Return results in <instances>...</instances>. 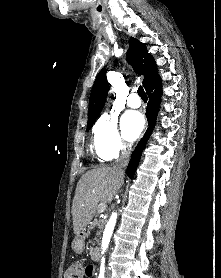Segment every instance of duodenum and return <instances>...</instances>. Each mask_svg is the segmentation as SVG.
Masks as SVG:
<instances>
[{"label":"duodenum","instance_id":"1","mask_svg":"<svg viewBox=\"0 0 221 278\" xmlns=\"http://www.w3.org/2000/svg\"><path fill=\"white\" fill-rule=\"evenodd\" d=\"M91 257L95 262H98L100 259V253L99 250L96 247H93L91 249Z\"/></svg>","mask_w":221,"mask_h":278}]
</instances>
